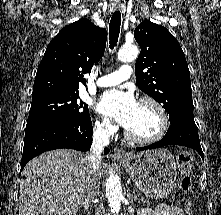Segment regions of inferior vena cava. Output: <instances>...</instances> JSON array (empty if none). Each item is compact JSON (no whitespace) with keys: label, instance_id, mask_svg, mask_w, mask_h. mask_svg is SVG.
Here are the masks:
<instances>
[{"label":"inferior vena cava","instance_id":"inferior-vena-cava-1","mask_svg":"<svg viewBox=\"0 0 221 215\" xmlns=\"http://www.w3.org/2000/svg\"><path fill=\"white\" fill-rule=\"evenodd\" d=\"M109 145V133L105 128H97L94 132L90 156L87 157L90 163V177L85 194V203L91 204L99 191V167L102 159V152L105 146Z\"/></svg>","mask_w":221,"mask_h":215}]
</instances>
